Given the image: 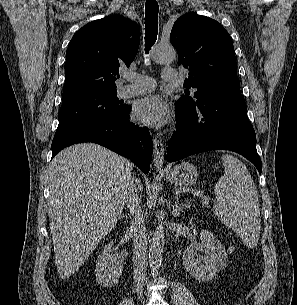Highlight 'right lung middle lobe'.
<instances>
[{
  "label": "right lung middle lobe",
  "instance_id": "right-lung-middle-lobe-1",
  "mask_svg": "<svg viewBox=\"0 0 297 305\" xmlns=\"http://www.w3.org/2000/svg\"><path fill=\"white\" fill-rule=\"evenodd\" d=\"M127 110L116 91L96 92L62 101L56 134H61L82 122L101 117H119Z\"/></svg>",
  "mask_w": 297,
  "mask_h": 305
}]
</instances>
